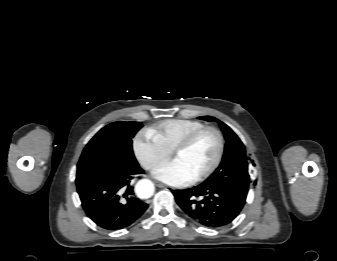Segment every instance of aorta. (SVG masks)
<instances>
[{"label":"aorta","mask_w":337,"mask_h":261,"mask_svg":"<svg viewBox=\"0 0 337 261\" xmlns=\"http://www.w3.org/2000/svg\"><path fill=\"white\" fill-rule=\"evenodd\" d=\"M135 191L139 198H150L154 193V184L149 179H142L137 182Z\"/></svg>","instance_id":"aorta-1"}]
</instances>
